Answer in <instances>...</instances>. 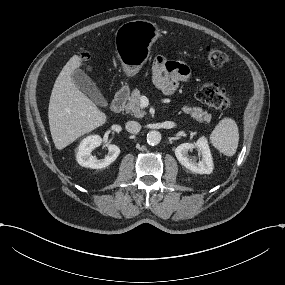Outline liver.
Listing matches in <instances>:
<instances>
[{
    "instance_id": "6515ba94",
    "label": "liver",
    "mask_w": 285,
    "mask_h": 285,
    "mask_svg": "<svg viewBox=\"0 0 285 285\" xmlns=\"http://www.w3.org/2000/svg\"><path fill=\"white\" fill-rule=\"evenodd\" d=\"M80 66L81 58L73 55L58 75L50 96L49 126L58 150L107 121L106 114L75 85L72 73Z\"/></svg>"
}]
</instances>
